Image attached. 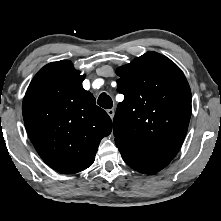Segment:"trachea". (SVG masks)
<instances>
[{"mask_svg": "<svg viewBox=\"0 0 221 221\" xmlns=\"http://www.w3.org/2000/svg\"><path fill=\"white\" fill-rule=\"evenodd\" d=\"M97 104L105 109H111L113 106V101L105 92L102 93L97 101Z\"/></svg>", "mask_w": 221, "mask_h": 221, "instance_id": "3493384b", "label": "trachea"}]
</instances>
